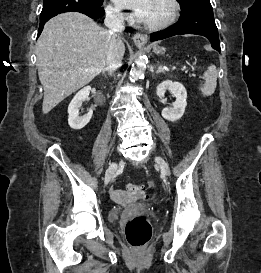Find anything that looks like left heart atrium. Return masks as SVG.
I'll return each mask as SVG.
<instances>
[{
  "instance_id": "1",
  "label": "left heart atrium",
  "mask_w": 261,
  "mask_h": 273,
  "mask_svg": "<svg viewBox=\"0 0 261 273\" xmlns=\"http://www.w3.org/2000/svg\"><path fill=\"white\" fill-rule=\"evenodd\" d=\"M122 8L132 11L133 18L146 22L151 10L153 0H115Z\"/></svg>"
}]
</instances>
